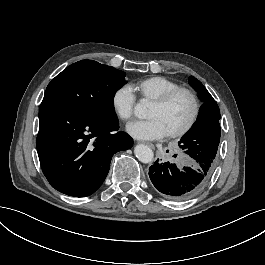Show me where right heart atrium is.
Wrapping results in <instances>:
<instances>
[{"label": "right heart atrium", "instance_id": "obj_1", "mask_svg": "<svg viewBox=\"0 0 265 265\" xmlns=\"http://www.w3.org/2000/svg\"><path fill=\"white\" fill-rule=\"evenodd\" d=\"M110 103L113 115L119 123L126 124L133 120L137 100L127 86H118L110 98Z\"/></svg>", "mask_w": 265, "mask_h": 265}]
</instances>
